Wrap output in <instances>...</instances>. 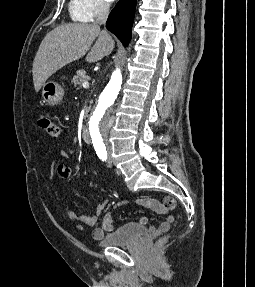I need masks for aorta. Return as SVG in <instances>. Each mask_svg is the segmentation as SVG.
<instances>
[{"label":"aorta","mask_w":255,"mask_h":287,"mask_svg":"<svg viewBox=\"0 0 255 287\" xmlns=\"http://www.w3.org/2000/svg\"><path fill=\"white\" fill-rule=\"evenodd\" d=\"M122 84V74L119 69H116L111 76V79L102 94L99 102L89 120V134L94 146L102 145L103 132L106 123V114L109 107L114 103L120 91Z\"/></svg>","instance_id":"obj_1"}]
</instances>
